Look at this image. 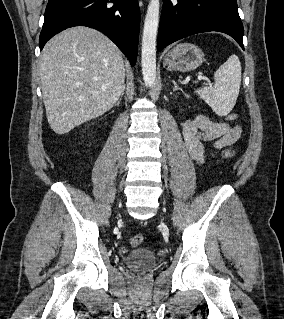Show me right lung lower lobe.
<instances>
[{
	"mask_svg": "<svg viewBox=\"0 0 284 319\" xmlns=\"http://www.w3.org/2000/svg\"><path fill=\"white\" fill-rule=\"evenodd\" d=\"M79 25L105 34L132 66L135 64L140 25L138 0H49L39 38L40 50L55 34Z\"/></svg>",
	"mask_w": 284,
	"mask_h": 319,
	"instance_id": "right-lung-lower-lobe-1",
	"label": "right lung lower lobe"
}]
</instances>
